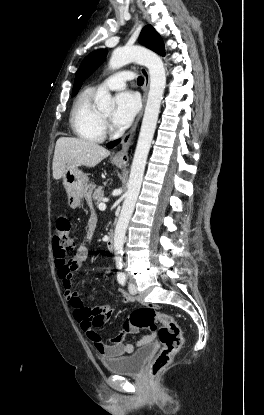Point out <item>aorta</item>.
<instances>
[{
    "label": "aorta",
    "instance_id": "aorta-1",
    "mask_svg": "<svg viewBox=\"0 0 264 415\" xmlns=\"http://www.w3.org/2000/svg\"><path fill=\"white\" fill-rule=\"evenodd\" d=\"M130 62H136L148 68L150 89L130 170L128 189L115 227L114 252L117 267L123 266L125 234L141 189L146 161L156 129L161 100L166 85L165 67L161 58L144 47L126 46L115 49L112 52L109 67L111 69H119ZM95 102L100 110L110 111L114 108V101L108 91L98 92Z\"/></svg>",
    "mask_w": 264,
    "mask_h": 415
}]
</instances>
